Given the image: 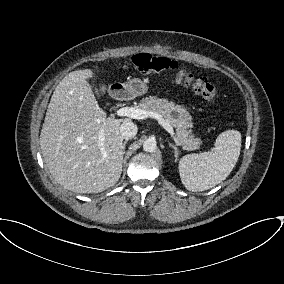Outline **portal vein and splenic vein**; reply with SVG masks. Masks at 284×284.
<instances>
[{"instance_id": "obj_1", "label": "portal vein and splenic vein", "mask_w": 284, "mask_h": 284, "mask_svg": "<svg viewBox=\"0 0 284 284\" xmlns=\"http://www.w3.org/2000/svg\"><path fill=\"white\" fill-rule=\"evenodd\" d=\"M116 115L118 116H126V117H131L134 119H146L148 117L156 119L162 126L163 128L171 135L173 140L177 145H181L179 141L177 140L173 127L170 124V120L164 119L160 114L154 113V112H148L144 109L141 108H136V107H122L116 111ZM99 141L103 142L104 141V131L101 130L99 132Z\"/></svg>"}]
</instances>
